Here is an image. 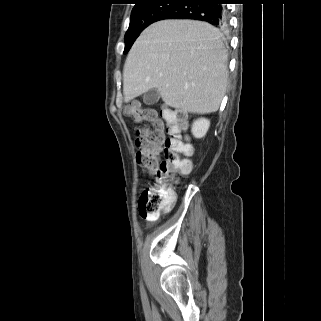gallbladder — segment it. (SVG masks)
<instances>
[{
	"label": "gallbladder",
	"instance_id": "obj_1",
	"mask_svg": "<svg viewBox=\"0 0 321 321\" xmlns=\"http://www.w3.org/2000/svg\"><path fill=\"white\" fill-rule=\"evenodd\" d=\"M160 99V93L156 88L150 89L143 96V101L146 105H154Z\"/></svg>",
	"mask_w": 321,
	"mask_h": 321
}]
</instances>
